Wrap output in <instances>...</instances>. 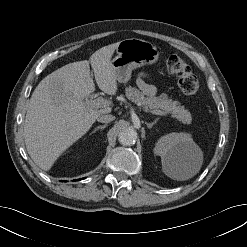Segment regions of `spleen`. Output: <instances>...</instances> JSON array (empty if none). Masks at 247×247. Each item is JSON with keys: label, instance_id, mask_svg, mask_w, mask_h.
<instances>
[{"label": "spleen", "instance_id": "obj_1", "mask_svg": "<svg viewBox=\"0 0 247 247\" xmlns=\"http://www.w3.org/2000/svg\"><path fill=\"white\" fill-rule=\"evenodd\" d=\"M179 161H181V160H179ZM178 162V161H177ZM169 175L171 176V177H173V178H177V179H188V178H190L191 176H193L194 174H190V175H188V174H185V172H183L182 170H181V168H179V167H176V170L175 171H169Z\"/></svg>", "mask_w": 247, "mask_h": 247}]
</instances>
